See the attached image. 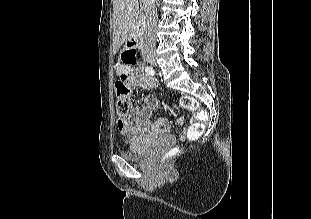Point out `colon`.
<instances>
[{
	"label": "colon",
	"instance_id": "5ec220e1",
	"mask_svg": "<svg viewBox=\"0 0 311 219\" xmlns=\"http://www.w3.org/2000/svg\"><path fill=\"white\" fill-rule=\"evenodd\" d=\"M127 63L135 64L136 59L135 55L128 53L126 58ZM129 91L130 86L128 84L127 78L125 75L119 76L116 80V92H117V106L116 113L119 120H122L129 109ZM182 108L185 110L191 111L193 113V122L187 131V137L189 140H195L204 129V123L207 120V112L205 109L201 108L198 102L190 97L184 96L180 100ZM176 153L175 149H171L164 156L163 159H168Z\"/></svg>",
	"mask_w": 311,
	"mask_h": 219
}]
</instances>
